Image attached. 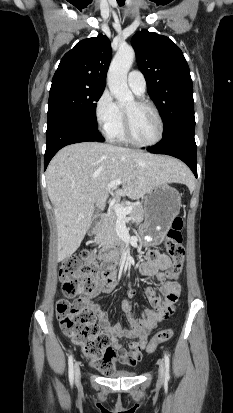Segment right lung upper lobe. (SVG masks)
I'll use <instances>...</instances> for the list:
<instances>
[{"label": "right lung upper lobe", "mask_w": 233, "mask_h": 413, "mask_svg": "<svg viewBox=\"0 0 233 413\" xmlns=\"http://www.w3.org/2000/svg\"><path fill=\"white\" fill-rule=\"evenodd\" d=\"M110 60L111 45L106 36L84 39L63 56L52 84L77 82L104 88Z\"/></svg>", "instance_id": "cb5924a9"}]
</instances>
